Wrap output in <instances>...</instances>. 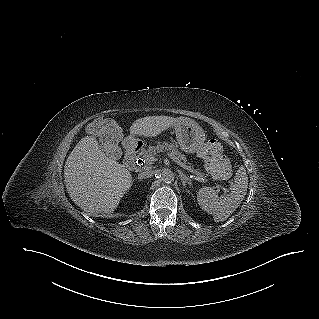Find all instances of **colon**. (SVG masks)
I'll return each mask as SVG.
<instances>
[{"label":"colon","instance_id":"5ec220e1","mask_svg":"<svg viewBox=\"0 0 319 319\" xmlns=\"http://www.w3.org/2000/svg\"><path fill=\"white\" fill-rule=\"evenodd\" d=\"M88 135H98L104 140L102 147L106 151H111V156L115 160H120L124 156V151L120 147H116L122 139L121 129L115 125L110 119L103 117L99 121H95L91 126L86 128ZM202 154L206 159V166L209 173L218 180H225L230 174L229 163L223 154V147L216 139H211L202 148Z\"/></svg>","mask_w":319,"mask_h":319}]
</instances>
